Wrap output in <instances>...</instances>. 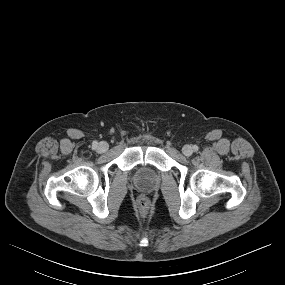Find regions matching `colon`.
Returning <instances> with one entry per match:
<instances>
[{
    "instance_id": "colon-1",
    "label": "colon",
    "mask_w": 285,
    "mask_h": 285,
    "mask_svg": "<svg viewBox=\"0 0 285 285\" xmlns=\"http://www.w3.org/2000/svg\"><path fill=\"white\" fill-rule=\"evenodd\" d=\"M138 204H139V208L143 211V212H146L149 208V201L147 198L145 197H140L139 201H138Z\"/></svg>"
}]
</instances>
